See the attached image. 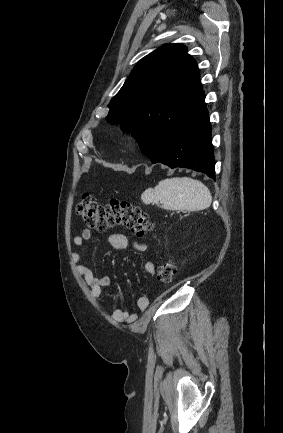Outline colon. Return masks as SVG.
Here are the masks:
<instances>
[{"label": "colon", "instance_id": "colon-1", "mask_svg": "<svg viewBox=\"0 0 283 433\" xmlns=\"http://www.w3.org/2000/svg\"><path fill=\"white\" fill-rule=\"evenodd\" d=\"M76 214L85 225L98 231L122 225L136 236L144 237L152 229L148 214L124 200L113 199L106 204H99L90 194H84L76 206ZM176 273V264L168 260L159 267L157 279L162 283H169Z\"/></svg>", "mask_w": 283, "mask_h": 433}]
</instances>
